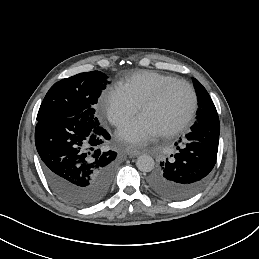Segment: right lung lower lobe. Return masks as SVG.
I'll return each instance as SVG.
<instances>
[{
	"instance_id": "1",
	"label": "right lung lower lobe",
	"mask_w": 259,
	"mask_h": 259,
	"mask_svg": "<svg viewBox=\"0 0 259 259\" xmlns=\"http://www.w3.org/2000/svg\"><path fill=\"white\" fill-rule=\"evenodd\" d=\"M109 139L100 124L74 117H52L37 123L35 144L44 174L65 202L85 207L106 196L117 156L104 147Z\"/></svg>"
}]
</instances>
